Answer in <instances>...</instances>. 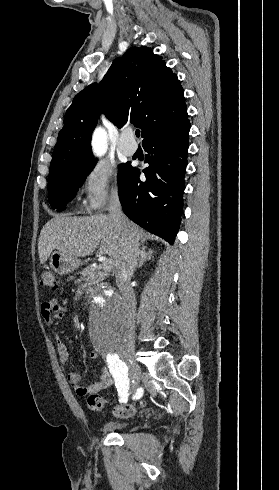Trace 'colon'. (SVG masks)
<instances>
[{
  "label": "colon",
  "mask_w": 279,
  "mask_h": 490,
  "mask_svg": "<svg viewBox=\"0 0 279 490\" xmlns=\"http://www.w3.org/2000/svg\"><path fill=\"white\" fill-rule=\"evenodd\" d=\"M40 285L43 288L53 289L56 286V274L51 270H46L40 278ZM108 400L99 394H90L87 399V407L91 412H99L103 409ZM141 406L134 404L115 405L112 413L117 418H127L135 415Z\"/></svg>",
  "instance_id": "5ec220e1"
}]
</instances>
